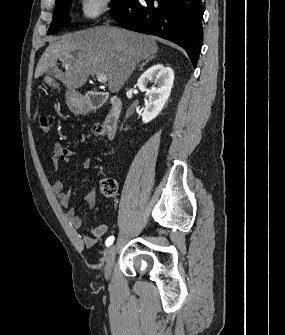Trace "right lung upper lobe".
<instances>
[{
	"instance_id": "obj_1",
	"label": "right lung upper lobe",
	"mask_w": 285,
	"mask_h": 335,
	"mask_svg": "<svg viewBox=\"0 0 285 335\" xmlns=\"http://www.w3.org/2000/svg\"><path fill=\"white\" fill-rule=\"evenodd\" d=\"M59 1H61V0H56V3H58Z\"/></svg>"
}]
</instances>
